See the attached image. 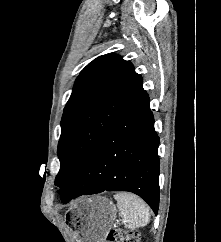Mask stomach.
I'll use <instances>...</instances> for the list:
<instances>
[{
	"mask_svg": "<svg viewBox=\"0 0 221 242\" xmlns=\"http://www.w3.org/2000/svg\"><path fill=\"white\" fill-rule=\"evenodd\" d=\"M70 211V229L76 242H104L117 214L113 202L103 196L84 197Z\"/></svg>",
	"mask_w": 221,
	"mask_h": 242,
	"instance_id": "0dacf381",
	"label": "stomach"
}]
</instances>
